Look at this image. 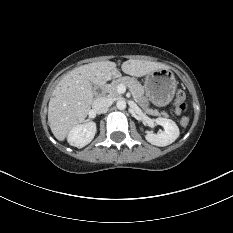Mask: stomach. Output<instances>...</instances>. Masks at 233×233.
<instances>
[{
    "mask_svg": "<svg viewBox=\"0 0 233 233\" xmlns=\"http://www.w3.org/2000/svg\"><path fill=\"white\" fill-rule=\"evenodd\" d=\"M177 81L169 69H160L146 75L144 89L150 100L157 106L169 104L176 92Z\"/></svg>",
    "mask_w": 233,
    "mask_h": 233,
    "instance_id": "0dacf381",
    "label": "stomach"
}]
</instances>
